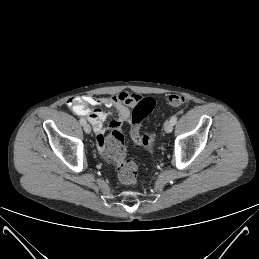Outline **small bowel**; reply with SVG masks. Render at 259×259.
I'll return each instance as SVG.
<instances>
[{
	"mask_svg": "<svg viewBox=\"0 0 259 259\" xmlns=\"http://www.w3.org/2000/svg\"><path fill=\"white\" fill-rule=\"evenodd\" d=\"M140 98L139 95L128 92H121L110 97L84 95L69 99L67 104L75 114L84 116L89 120L96 134L98 146L103 151L106 133L104 122L111 115V112L91 107L115 108L118 119L110 122L109 129H122L123 124L131 122L130 109L135 107Z\"/></svg>",
	"mask_w": 259,
	"mask_h": 259,
	"instance_id": "small-bowel-1",
	"label": "small bowel"
}]
</instances>
